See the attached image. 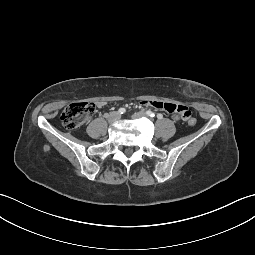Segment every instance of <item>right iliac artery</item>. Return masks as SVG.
I'll use <instances>...</instances> for the list:
<instances>
[{"label": "right iliac artery", "instance_id": "82829eb1", "mask_svg": "<svg viewBox=\"0 0 255 255\" xmlns=\"http://www.w3.org/2000/svg\"><path fill=\"white\" fill-rule=\"evenodd\" d=\"M118 112H119L120 114H123V113L126 112V109H125V108H120V109L118 110Z\"/></svg>", "mask_w": 255, "mask_h": 255}]
</instances>
